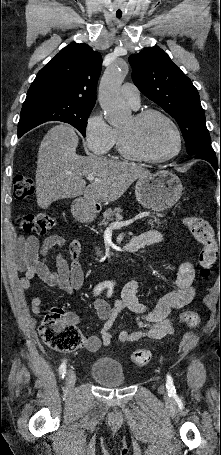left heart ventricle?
<instances>
[{
  "label": "left heart ventricle",
  "instance_id": "1",
  "mask_svg": "<svg viewBox=\"0 0 221 455\" xmlns=\"http://www.w3.org/2000/svg\"><path fill=\"white\" fill-rule=\"evenodd\" d=\"M120 129L128 135L131 146L146 156L164 157L176 147L171 127L159 116H151L140 123L131 117Z\"/></svg>",
  "mask_w": 221,
  "mask_h": 455
}]
</instances>
